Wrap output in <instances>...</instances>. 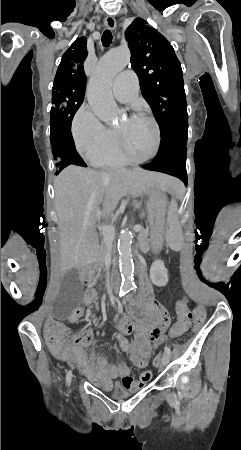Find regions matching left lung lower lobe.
I'll return each instance as SVG.
<instances>
[{
  "instance_id": "1",
  "label": "left lung lower lobe",
  "mask_w": 241,
  "mask_h": 450,
  "mask_svg": "<svg viewBox=\"0 0 241 450\" xmlns=\"http://www.w3.org/2000/svg\"><path fill=\"white\" fill-rule=\"evenodd\" d=\"M188 131V116L176 119L161 133V143L154 160L142 167L159 171L181 179L187 185L185 138Z\"/></svg>"
}]
</instances>
